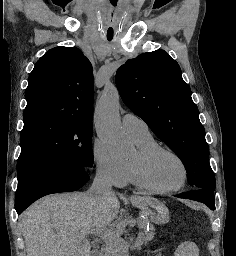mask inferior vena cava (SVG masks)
Instances as JSON below:
<instances>
[{"label": "inferior vena cava", "mask_w": 236, "mask_h": 256, "mask_svg": "<svg viewBox=\"0 0 236 256\" xmlns=\"http://www.w3.org/2000/svg\"><path fill=\"white\" fill-rule=\"evenodd\" d=\"M88 192L95 200H105V198H112L114 196L109 170L100 168V166L97 168L94 182Z\"/></svg>", "instance_id": "inferior-vena-cava-1"}]
</instances>
